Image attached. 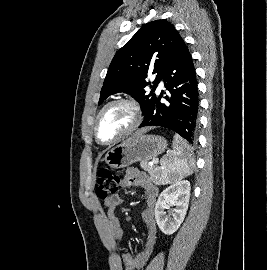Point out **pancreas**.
<instances>
[{
    "instance_id": "cf45deb5",
    "label": "pancreas",
    "mask_w": 267,
    "mask_h": 270,
    "mask_svg": "<svg viewBox=\"0 0 267 270\" xmlns=\"http://www.w3.org/2000/svg\"><path fill=\"white\" fill-rule=\"evenodd\" d=\"M142 169L147 171L151 175V179L154 183L159 184V169L155 166L149 165L147 161H142L140 163Z\"/></svg>"
}]
</instances>
